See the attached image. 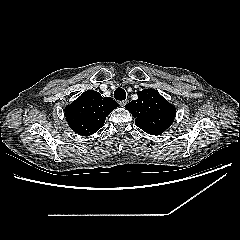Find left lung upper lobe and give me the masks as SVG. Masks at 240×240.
I'll list each match as a JSON object with an SVG mask.
<instances>
[{
	"label": "left lung upper lobe",
	"mask_w": 240,
	"mask_h": 240,
	"mask_svg": "<svg viewBox=\"0 0 240 240\" xmlns=\"http://www.w3.org/2000/svg\"><path fill=\"white\" fill-rule=\"evenodd\" d=\"M137 95V100L125 106L136 118L135 124L150 135L163 133L174 121L175 107L155 89H145Z\"/></svg>",
	"instance_id": "5c2ea615"
}]
</instances>
